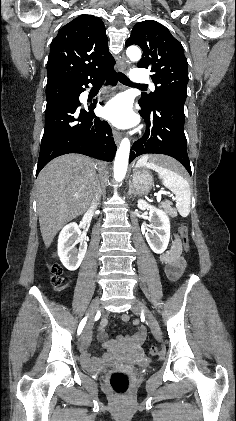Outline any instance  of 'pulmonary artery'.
I'll use <instances>...</instances> for the list:
<instances>
[{
  "instance_id": "e3ab8cb5",
  "label": "pulmonary artery",
  "mask_w": 236,
  "mask_h": 421,
  "mask_svg": "<svg viewBox=\"0 0 236 421\" xmlns=\"http://www.w3.org/2000/svg\"><path fill=\"white\" fill-rule=\"evenodd\" d=\"M148 75V72L146 69H134L132 71V81L137 86H145L151 84V79L146 78Z\"/></svg>"
}]
</instances>
